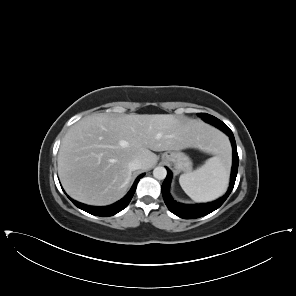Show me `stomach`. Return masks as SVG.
Returning <instances> with one entry per match:
<instances>
[{"label":"stomach","instance_id":"0dacf381","mask_svg":"<svg viewBox=\"0 0 296 296\" xmlns=\"http://www.w3.org/2000/svg\"><path fill=\"white\" fill-rule=\"evenodd\" d=\"M162 160L173 164L179 172H190L192 161L187 154L181 151H167L162 155Z\"/></svg>","mask_w":296,"mask_h":296}]
</instances>
